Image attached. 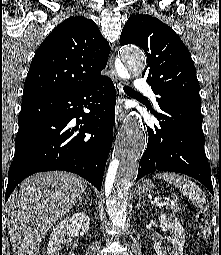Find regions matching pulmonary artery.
<instances>
[{
    "label": "pulmonary artery",
    "mask_w": 221,
    "mask_h": 255,
    "mask_svg": "<svg viewBox=\"0 0 221 255\" xmlns=\"http://www.w3.org/2000/svg\"><path fill=\"white\" fill-rule=\"evenodd\" d=\"M135 89L137 91V93L141 94V95H148L151 96L153 99H155V95L152 91V87L151 85L146 82L143 79H138L135 82Z\"/></svg>",
    "instance_id": "pulmonary-artery-1"
}]
</instances>
